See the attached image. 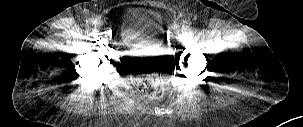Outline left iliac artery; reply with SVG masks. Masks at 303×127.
Returning a JSON list of instances; mask_svg holds the SVG:
<instances>
[{"instance_id": "1", "label": "left iliac artery", "mask_w": 303, "mask_h": 127, "mask_svg": "<svg viewBox=\"0 0 303 127\" xmlns=\"http://www.w3.org/2000/svg\"><path fill=\"white\" fill-rule=\"evenodd\" d=\"M196 32H197V30H196V29H193V30H192V33H196Z\"/></svg>"}]
</instances>
